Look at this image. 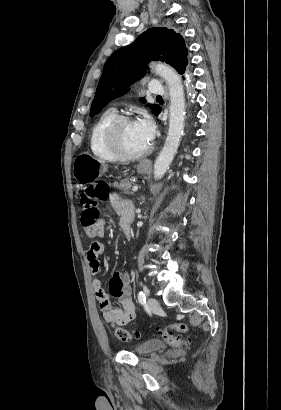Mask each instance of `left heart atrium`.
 Returning a JSON list of instances; mask_svg holds the SVG:
<instances>
[{
	"instance_id": "1",
	"label": "left heart atrium",
	"mask_w": 281,
	"mask_h": 410,
	"mask_svg": "<svg viewBox=\"0 0 281 410\" xmlns=\"http://www.w3.org/2000/svg\"><path fill=\"white\" fill-rule=\"evenodd\" d=\"M134 123L144 141L148 144L151 143L155 136V124L152 118L146 113H141Z\"/></svg>"
}]
</instances>
